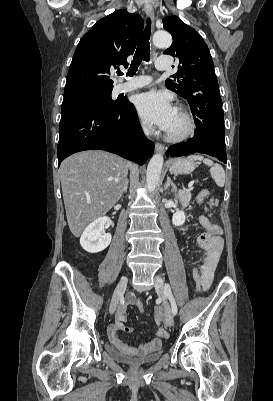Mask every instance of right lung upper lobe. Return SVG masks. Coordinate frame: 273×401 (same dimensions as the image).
I'll return each mask as SVG.
<instances>
[{"instance_id": "right-lung-upper-lobe-1", "label": "right lung upper lobe", "mask_w": 273, "mask_h": 401, "mask_svg": "<svg viewBox=\"0 0 273 401\" xmlns=\"http://www.w3.org/2000/svg\"><path fill=\"white\" fill-rule=\"evenodd\" d=\"M143 29L137 14L118 10L99 20L80 40L75 50L64 96L110 90L109 74L121 64H128Z\"/></svg>"}]
</instances>
